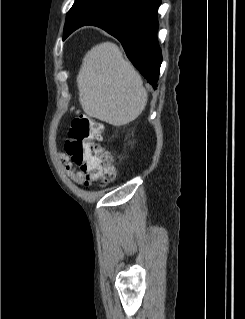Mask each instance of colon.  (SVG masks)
I'll use <instances>...</instances> for the list:
<instances>
[{
  "label": "colon",
  "mask_w": 245,
  "mask_h": 319,
  "mask_svg": "<svg viewBox=\"0 0 245 319\" xmlns=\"http://www.w3.org/2000/svg\"><path fill=\"white\" fill-rule=\"evenodd\" d=\"M102 133V124L85 115L75 117L67 132L65 150L86 184L106 185L115 177L110 153L97 143Z\"/></svg>",
  "instance_id": "colon-1"
}]
</instances>
